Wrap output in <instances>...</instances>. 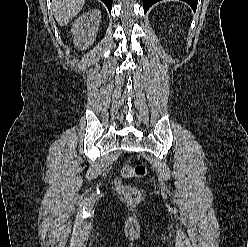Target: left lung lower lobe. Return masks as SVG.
<instances>
[{
	"mask_svg": "<svg viewBox=\"0 0 248 247\" xmlns=\"http://www.w3.org/2000/svg\"><path fill=\"white\" fill-rule=\"evenodd\" d=\"M158 1H160V0H143L144 11L147 12L148 9H149L154 3L158 2ZM182 1L188 3V4L192 7L193 10H195L196 7H197V2H198V0H182Z\"/></svg>",
	"mask_w": 248,
	"mask_h": 247,
	"instance_id": "left-lung-lower-lobe-1",
	"label": "left lung lower lobe"
}]
</instances>
